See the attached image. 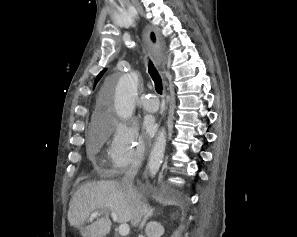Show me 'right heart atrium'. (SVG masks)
<instances>
[{
	"instance_id": "d8ad5b80",
	"label": "right heart atrium",
	"mask_w": 297,
	"mask_h": 237,
	"mask_svg": "<svg viewBox=\"0 0 297 237\" xmlns=\"http://www.w3.org/2000/svg\"><path fill=\"white\" fill-rule=\"evenodd\" d=\"M107 158L113 173L138 165L145 154V141L138 128L113 116L102 120L101 140L108 139Z\"/></svg>"
}]
</instances>
